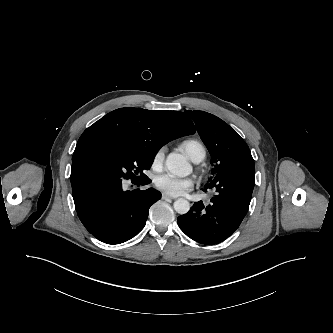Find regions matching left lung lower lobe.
<instances>
[{
  "label": "left lung lower lobe",
  "instance_id": "left-lung-lower-lobe-1",
  "mask_svg": "<svg viewBox=\"0 0 333 333\" xmlns=\"http://www.w3.org/2000/svg\"><path fill=\"white\" fill-rule=\"evenodd\" d=\"M236 175V177H233ZM255 185V166L251 154L225 165L209 187L216 196L208 206L196 202L190 211L177 218L182 231L206 245L218 244L231 236L244 219Z\"/></svg>",
  "mask_w": 333,
  "mask_h": 333
}]
</instances>
